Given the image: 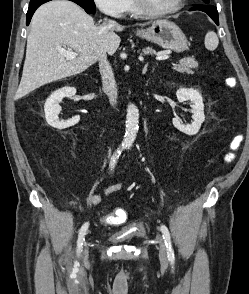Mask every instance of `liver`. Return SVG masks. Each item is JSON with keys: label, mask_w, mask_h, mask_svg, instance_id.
Listing matches in <instances>:
<instances>
[{"label": "liver", "mask_w": 249, "mask_h": 294, "mask_svg": "<svg viewBox=\"0 0 249 294\" xmlns=\"http://www.w3.org/2000/svg\"><path fill=\"white\" fill-rule=\"evenodd\" d=\"M124 27L100 26L77 4L55 0L43 4L34 13L27 37L26 58L16 98L66 77L77 75L96 63L103 53L113 55L121 39L115 31ZM78 56L67 60L61 48Z\"/></svg>", "instance_id": "6515ba94"}]
</instances>
